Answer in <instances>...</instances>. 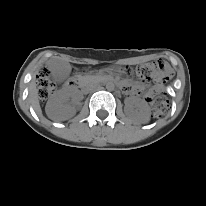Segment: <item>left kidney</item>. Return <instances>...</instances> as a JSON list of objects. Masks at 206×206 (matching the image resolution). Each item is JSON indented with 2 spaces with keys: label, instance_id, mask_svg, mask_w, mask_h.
Listing matches in <instances>:
<instances>
[{
  "label": "left kidney",
  "instance_id": "1",
  "mask_svg": "<svg viewBox=\"0 0 206 206\" xmlns=\"http://www.w3.org/2000/svg\"><path fill=\"white\" fill-rule=\"evenodd\" d=\"M124 110L127 115L136 118L141 123H147L150 120V107L145 100L128 98Z\"/></svg>",
  "mask_w": 206,
  "mask_h": 206
}]
</instances>
